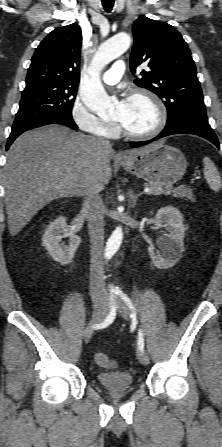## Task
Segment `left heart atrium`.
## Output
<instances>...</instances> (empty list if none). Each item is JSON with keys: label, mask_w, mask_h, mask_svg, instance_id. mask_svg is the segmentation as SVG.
<instances>
[{"label": "left heart atrium", "mask_w": 222, "mask_h": 447, "mask_svg": "<svg viewBox=\"0 0 222 447\" xmlns=\"http://www.w3.org/2000/svg\"><path fill=\"white\" fill-rule=\"evenodd\" d=\"M127 103H128V100H127V99H124V100L121 101L120 105H121L122 107H125V106L127 105Z\"/></svg>", "instance_id": "obj_1"}]
</instances>
